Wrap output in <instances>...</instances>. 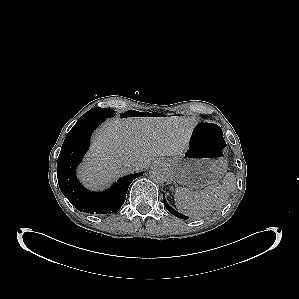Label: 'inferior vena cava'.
<instances>
[{"label":"inferior vena cava","instance_id":"1","mask_svg":"<svg viewBox=\"0 0 299 299\" xmlns=\"http://www.w3.org/2000/svg\"><path fill=\"white\" fill-rule=\"evenodd\" d=\"M138 166H139V165H138L137 163H135V162H134V163H131V167H132V168H136V169H138Z\"/></svg>","mask_w":299,"mask_h":299}]
</instances>
